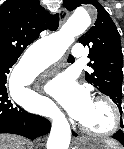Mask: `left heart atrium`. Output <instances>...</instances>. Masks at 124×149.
<instances>
[{
  "mask_svg": "<svg viewBox=\"0 0 124 149\" xmlns=\"http://www.w3.org/2000/svg\"><path fill=\"white\" fill-rule=\"evenodd\" d=\"M46 88L48 94L78 121L85 116L93 102L88 89L66 73L52 79Z\"/></svg>",
  "mask_w": 124,
  "mask_h": 149,
  "instance_id": "1",
  "label": "left heart atrium"
}]
</instances>
